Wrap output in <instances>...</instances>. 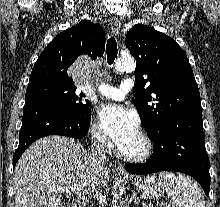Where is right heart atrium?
I'll use <instances>...</instances> for the list:
<instances>
[{"instance_id": "right-heart-atrium-1", "label": "right heart atrium", "mask_w": 220, "mask_h": 207, "mask_svg": "<svg viewBox=\"0 0 220 207\" xmlns=\"http://www.w3.org/2000/svg\"><path fill=\"white\" fill-rule=\"evenodd\" d=\"M90 133L95 144L104 148L109 147L110 143L108 138L96 123L91 125Z\"/></svg>"}]
</instances>
